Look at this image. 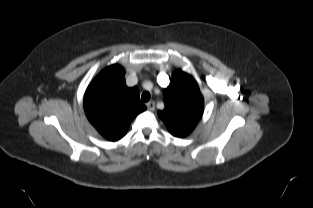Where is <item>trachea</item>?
I'll return each instance as SVG.
<instances>
[{
    "mask_svg": "<svg viewBox=\"0 0 313 208\" xmlns=\"http://www.w3.org/2000/svg\"><path fill=\"white\" fill-rule=\"evenodd\" d=\"M150 97V93L146 91L142 94L141 99L143 102H148L150 100Z\"/></svg>",
    "mask_w": 313,
    "mask_h": 208,
    "instance_id": "1",
    "label": "trachea"
}]
</instances>
